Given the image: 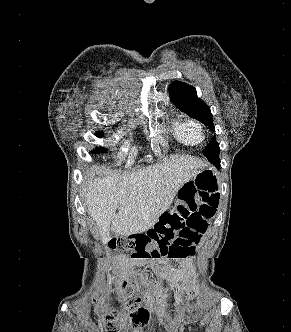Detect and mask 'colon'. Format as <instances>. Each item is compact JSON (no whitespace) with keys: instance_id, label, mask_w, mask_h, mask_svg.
<instances>
[{"instance_id":"5ec220e1","label":"colon","mask_w":291,"mask_h":332,"mask_svg":"<svg viewBox=\"0 0 291 332\" xmlns=\"http://www.w3.org/2000/svg\"><path fill=\"white\" fill-rule=\"evenodd\" d=\"M219 198L206 191L192 188L180 192L179 201L175 207L166 213L161 221L146 233L128 237L114 238L109 242V248L128 252L132 258L154 260L167 257L184 259L192 255L196 245L206 233L209 223L215 217ZM127 283L121 282V289H126ZM141 299L131 302V320L137 326H143L149 318L148 311L141 307ZM183 318L176 321L172 332H180ZM118 322L114 317L108 322V332H116Z\"/></svg>"}]
</instances>
